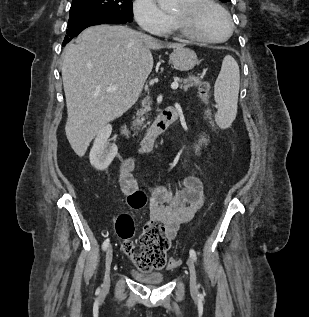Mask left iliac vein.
Here are the masks:
<instances>
[{
    "label": "left iliac vein",
    "instance_id": "obj_1",
    "mask_svg": "<svg viewBox=\"0 0 309 317\" xmlns=\"http://www.w3.org/2000/svg\"><path fill=\"white\" fill-rule=\"evenodd\" d=\"M187 265L189 268V273H190V290L192 293H197L198 291V285H197V274H196V269L194 262L192 258L187 259Z\"/></svg>",
    "mask_w": 309,
    "mask_h": 317
}]
</instances>
